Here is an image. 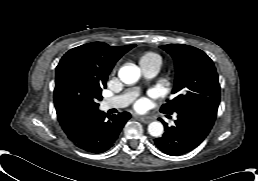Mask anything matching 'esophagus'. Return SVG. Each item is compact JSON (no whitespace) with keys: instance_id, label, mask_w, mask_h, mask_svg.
<instances>
[{"instance_id":"esophagus-1","label":"esophagus","mask_w":258,"mask_h":181,"mask_svg":"<svg viewBox=\"0 0 258 181\" xmlns=\"http://www.w3.org/2000/svg\"><path fill=\"white\" fill-rule=\"evenodd\" d=\"M139 119H140V121H142L143 123H146V124L150 123L153 120V118L150 116H140Z\"/></svg>"}]
</instances>
